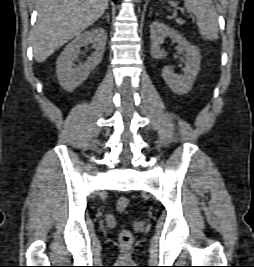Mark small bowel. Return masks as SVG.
<instances>
[{
    "mask_svg": "<svg viewBox=\"0 0 254 267\" xmlns=\"http://www.w3.org/2000/svg\"><path fill=\"white\" fill-rule=\"evenodd\" d=\"M108 221L112 222L113 221V217L112 216H108Z\"/></svg>",
    "mask_w": 254,
    "mask_h": 267,
    "instance_id": "c3829d8e",
    "label": "small bowel"
}]
</instances>
